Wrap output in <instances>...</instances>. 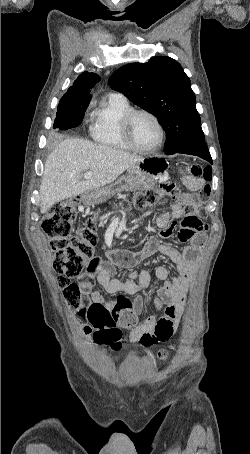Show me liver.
I'll use <instances>...</instances> for the list:
<instances>
[{
	"label": "liver",
	"mask_w": 250,
	"mask_h": 454,
	"mask_svg": "<svg viewBox=\"0 0 250 454\" xmlns=\"http://www.w3.org/2000/svg\"><path fill=\"white\" fill-rule=\"evenodd\" d=\"M143 160V157L84 139H65L45 162L40 185L41 213H46L59 201L113 183L126 169ZM84 171H91L92 177L83 180Z\"/></svg>",
	"instance_id": "liver-1"
}]
</instances>
